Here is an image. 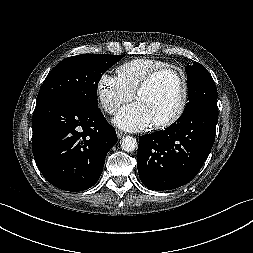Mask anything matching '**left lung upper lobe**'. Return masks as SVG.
<instances>
[{"label": "left lung upper lobe", "instance_id": "obj_1", "mask_svg": "<svg viewBox=\"0 0 253 253\" xmlns=\"http://www.w3.org/2000/svg\"><path fill=\"white\" fill-rule=\"evenodd\" d=\"M185 70L188 74V103L180 118L200 106L217 108V89L210 73L198 62Z\"/></svg>", "mask_w": 253, "mask_h": 253}]
</instances>
